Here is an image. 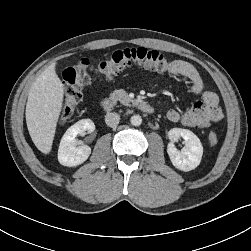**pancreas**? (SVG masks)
<instances>
[{
    "label": "pancreas",
    "mask_w": 251,
    "mask_h": 251,
    "mask_svg": "<svg viewBox=\"0 0 251 251\" xmlns=\"http://www.w3.org/2000/svg\"><path fill=\"white\" fill-rule=\"evenodd\" d=\"M110 99L113 101H120L124 105H128L131 101L128 93L123 89L114 90L113 93L110 94Z\"/></svg>",
    "instance_id": "obj_1"
}]
</instances>
